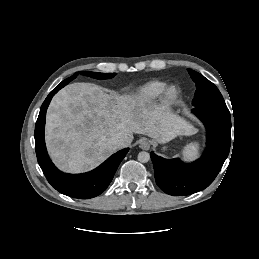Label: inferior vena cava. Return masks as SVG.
I'll return each instance as SVG.
<instances>
[{"instance_id": "inferior-vena-cava-1", "label": "inferior vena cava", "mask_w": 259, "mask_h": 259, "mask_svg": "<svg viewBox=\"0 0 259 259\" xmlns=\"http://www.w3.org/2000/svg\"><path fill=\"white\" fill-rule=\"evenodd\" d=\"M110 142L118 148L124 147L126 145V139L120 134L112 136L110 138Z\"/></svg>"}]
</instances>
